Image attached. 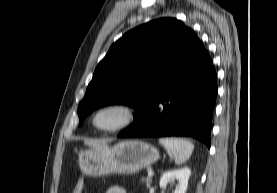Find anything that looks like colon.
<instances>
[{
    "instance_id": "5ec220e1",
    "label": "colon",
    "mask_w": 277,
    "mask_h": 193,
    "mask_svg": "<svg viewBox=\"0 0 277 193\" xmlns=\"http://www.w3.org/2000/svg\"><path fill=\"white\" fill-rule=\"evenodd\" d=\"M83 190H84V181L83 179H79L72 193H83Z\"/></svg>"
}]
</instances>
